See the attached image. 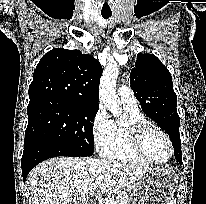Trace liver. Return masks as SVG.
I'll return each instance as SVG.
<instances>
[{
	"instance_id": "liver-1",
	"label": "liver",
	"mask_w": 206,
	"mask_h": 204,
	"mask_svg": "<svg viewBox=\"0 0 206 204\" xmlns=\"http://www.w3.org/2000/svg\"><path fill=\"white\" fill-rule=\"evenodd\" d=\"M148 169L117 161L96 158L58 157L37 165L27 178L29 204H70L84 201L96 189L89 190L96 178L103 193H118L130 187Z\"/></svg>"
}]
</instances>
